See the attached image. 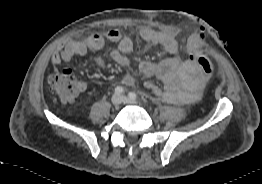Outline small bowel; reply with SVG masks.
Here are the masks:
<instances>
[{
    "mask_svg": "<svg viewBox=\"0 0 262 184\" xmlns=\"http://www.w3.org/2000/svg\"><path fill=\"white\" fill-rule=\"evenodd\" d=\"M206 31V26L202 24L190 30L185 46L188 59L182 60L178 56L179 44L173 33L141 30L139 38L143 43L159 46L167 54V57L158 63L148 60L141 62L139 69L144 75L157 77L163 83V87H160L147 80L143 83L144 87L169 103L190 104L198 101L201 98L208 73H203L191 59L195 57L197 40L202 42L207 40ZM106 41L117 44L111 53L112 59L121 66H128L134 40L115 29L107 31L104 35L95 33L81 41L67 42L52 54L51 62L54 65H60L70 61L73 57L98 52L103 49ZM95 62L99 66L103 64L100 57H97ZM133 82L131 76L123 78V83L126 85H131Z\"/></svg>",
    "mask_w": 262,
    "mask_h": 184,
    "instance_id": "1",
    "label": "small bowel"
}]
</instances>
